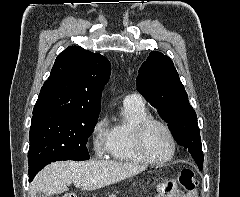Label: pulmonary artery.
Wrapping results in <instances>:
<instances>
[{"instance_id":"e3ab8cb5","label":"pulmonary artery","mask_w":240,"mask_h":197,"mask_svg":"<svg viewBox=\"0 0 240 197\" xmlns=\"http://www.w3.org/2000/svg\"><path fill=\"white\" fill-rule=\"evenodd\" d=\"M124 105L144 106V101L139 94H128L123 99Z\"/></svg>"}]
</instances>
